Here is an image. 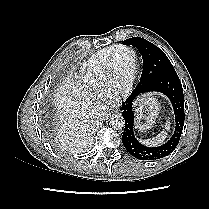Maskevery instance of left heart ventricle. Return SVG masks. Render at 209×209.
I'll use <instances>...</instances> for the list:
<instances>
[{
    "instance_id": "left-heart-ventricle-1",
    "label": "left heart ventricle",
    "mask_w": 209,
    "mask_h": 209,
    "mask_svg": "<svg viewBox=\"0 0 209 209\" xmlns=\"http://www.w3.org/2000/svg\"><path fill=\"white\" fill-rule=\"evenodd\" d=\"M133 64V54L130 51L120 52L115 60V78L124 82L130 75Z\"/></svg>"
}]
</instances>
